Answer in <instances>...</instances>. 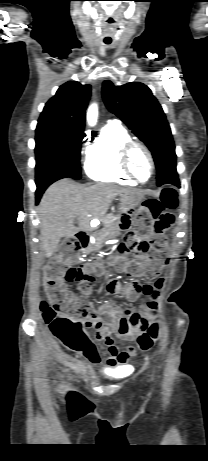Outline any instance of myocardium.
Returning a JSON list of instances; mask_svg holds the SVG:
<instances>
[{
	"label": "myocardium",
	"mask_w": 208,
	"mask_h": 461,
	"mask_svg": "<svg viewBox=\"0 0 208 461\" xmlns=\"http://www.w3.org/2000/svg\"><path fill=\"white\" fill-rule=\"evenodd\" d=\"M137 149L142 150L146 154L150 162L151 172H150L149 177L146 180H141L140 178H138V176L134 173L132 166H131V157L134 151ZM120 163H121L122 169L128 176H130L136 182L142 183V184L147 183L153 177L155 173V169H156L154 157L150 149L148 148V146L142 142L134 141V140L127 142L122 147L121 154H120Z\"/></svg>",
	"instance_id": "1"
}]
</instances>
